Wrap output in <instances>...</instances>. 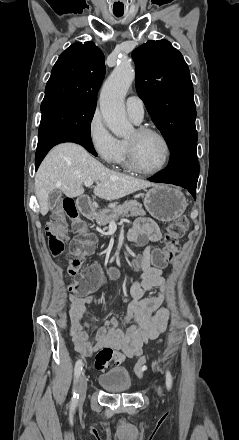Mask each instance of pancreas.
<instances>
[{
  "instance_id": "1",
  "label": "pancreas",
  "mask_w": 239,
  "mask_h": 440,
  "mask_svg": "<svg viewBox=\"0 0 239 440\" xmlns=\"http://www.w3.org/2000/svg\"><path fill=\"white\" fill-rule=\"evenodd\" d=\"M97 208H93V220H96L98 226H106L112 220H119V218H130V216H145L146 212H144L142 208V204L137 202V200H129V202H124V204H120V206H115L114 208H110V210H98L95 212Z\"/></svg>"
}]
</instances>
